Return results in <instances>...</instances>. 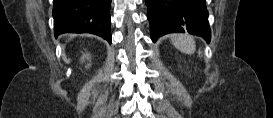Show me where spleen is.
<instances>
[{"label": "spleen", "instance_id": "obj_1", "mask_svg": "<svg viewBox=\"0 0 273 118\" xmlns=\"http://www.w3.org/2000/svg\"><path fill=\"white\" fill-rule=\"evenodd\" d=\"M172 44L185 54H193L195 52V42L192 37L187 35H178L172 38Z\"/></svg>", "mask_w": 273, "mask_h": 118}]
</instances>
